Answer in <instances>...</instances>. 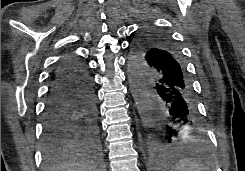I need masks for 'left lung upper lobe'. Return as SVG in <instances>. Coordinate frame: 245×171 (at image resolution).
Listing matches in <instances>:
<instances>
[{
  "label": "left lung upper lobe",
  "instance_id": "1",
  "mask_svg": "<svg viewBox=\"0 0 245 171\" xmlns=\"http://www.w3.org/2000/svg\"><path fill=\"white\" fill-rule=\"evenodd\" d=\"M176 48L170 37L161 30L143 29L133 41V56L136 61H148V56L160 48Z\"/></svg>",
  "mask_w": 245,
  "mask_h": 171
}]
</instances>
